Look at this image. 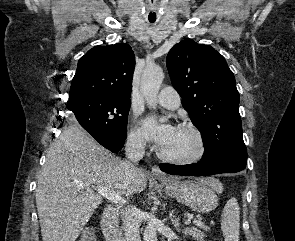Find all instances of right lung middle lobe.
Wrapping results in <instances>:
<instances>
[{
	"label": "right lung middle lobe",
	"mask_w": 295,
	"mask_h": 241,
	"mask_svg": "<svg viewBox=\"0 0 295 241\" xmlns=\"http://www.w3.org/2000/svg\"><path fill=\"white\" fill-rule=\"evenodd\" d=\"M74 122L88 131L126 139L130 101L83 100L67 106Z\"/></svg>",
	"instance_id": "dd1d6c3e"
}]
</instances>
